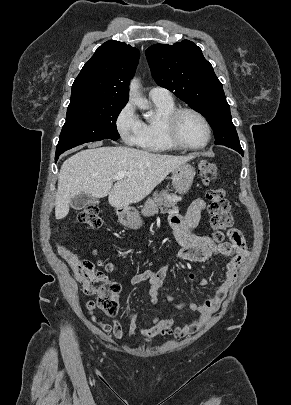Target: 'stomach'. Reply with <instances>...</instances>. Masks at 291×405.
Listing matches in <instances>:
<instances>
[{"label": "stomach", "mask_w": 291, "mask_h": 405, "mask_svg": "<svg viewBox=\"0 0 291 405\" xmlns=\"http://www.w3.org/2000/svg\"><path fill=\"white\" fill-rule=\"evenodd\" d=\"M195 169L187 163H183L172 171V183L177 193L186 194L192 186ZM119 222L127 228H138L142 220L137 210L125 208L118 212Z\"/></svg>", "instance_id": "0dacf381"}]
</instances>
